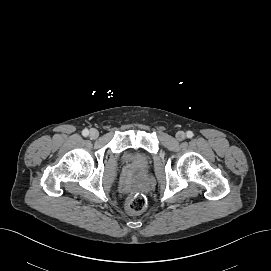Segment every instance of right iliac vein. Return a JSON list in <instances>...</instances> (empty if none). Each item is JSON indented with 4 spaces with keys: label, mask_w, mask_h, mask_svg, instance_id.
Segmentation results:
<instances>
[{
    "label": "right iliac vein",
    "mask_w": 271,
    "mask_h": 271,
    "mask_svg": "<svg viewBox=\"0 0 271 271\" xmlns=\"http://www.w3.org/2000/svg\"><path fill=\"white\" fill-rule=\"evenodd\" d=\"M89 136L91 139H96L99 136V132L96 129H91L89 132Z\"/></svg>",
    "instance_id": "1"
}]
</instances>
